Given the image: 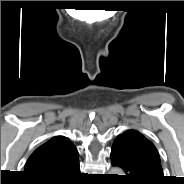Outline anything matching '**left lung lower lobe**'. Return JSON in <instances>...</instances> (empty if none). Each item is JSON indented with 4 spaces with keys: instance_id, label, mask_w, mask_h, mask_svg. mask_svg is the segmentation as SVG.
<instances>
[{
    "instance_id": "obj_1",
    "label": "left lung lower lobe",
    "mask_w": 184,
    "mask_h": 184,
    "mask_svg": "<svg viewBox=\"0 0 184 184\" xmlns=\"http://www.w3.org/2000/svg\"><path fill=\"white\" fill-rule=\"evenodd\" d=\"M110 157L112 165L121 167L126 173L121 180L127 184H161L164 181L149 165L120 146L112 145Z\"/></svg>"
}]
</instances>
